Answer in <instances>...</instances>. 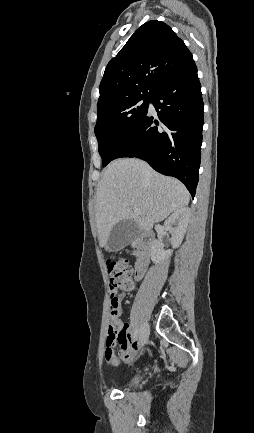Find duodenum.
<instances>
[{
	"instance_id": "duodenum-1",
	"label": "duodenum",
	"mask_w": 254,
	"mask_h": 433,
	"mask_svg": "<svg viewBox=\"0 0 254 433\" xmlns=\"http://www.w3.org/2000/svg\"><path fill=\"white\" fill-rule=\"evenodd\" d=\"M154 239V233L147 232L143 234L135 243V248L138 253V260L135 265V276L138 279L142 278L147 270L150 248L154 242Z\"/></svg>"
}]
</instances>
